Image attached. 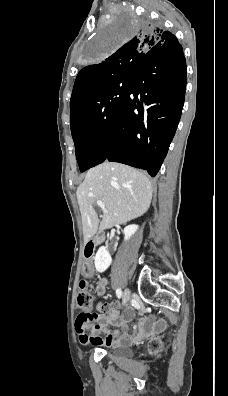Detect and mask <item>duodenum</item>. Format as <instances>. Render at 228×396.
Wrapping results in <instances>:
<instances>
[{
  "label": "duodenum",
  "instance_id": "duodenum-1",
  "mask_svg": "<svg viewBox=\"0 0 228 396\" xmlns=\"http://www.w3.org/2000/svg\"><path fill=\"white\" fill-rule=\"evenodd\" d=\"M100 242V239H92L90 240L85 247V252H88L92 255V252L95 248V246Z\"/></svg>",
  "mask_w": 228,
  "mask_h": 396
}]
</instances>
